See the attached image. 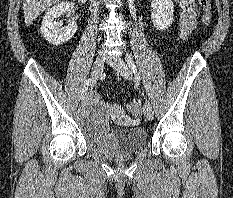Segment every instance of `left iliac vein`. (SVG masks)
<instances>
[{"label": "left iliac vein", "mask_w": 233, "mask_h": 198, "mask_svg": "<svg viewBox=\"0 0 233 198\" xmlns=\"http://www.w3.org/2000/svg\"><path fill=\"white\" fill-rule=\"evenodd\" d=\"M108 64L113 67L122 77L125 79H131L133 74L130 70L127 63L120 57H109ZM144 115L147 120H153L154 118V112L152 109V106L148 100L145 101L144 105Z\"/></svg>", "instance_id": "4c4485c4"}]
</instances>
